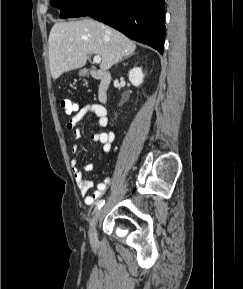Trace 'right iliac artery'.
<instances>
[{
  "mask_svg": "<svg viewBox=\"0 0 243 289\" xmlns=\"http://www.w3.org/2000/svg\"><path fill=\"white\" fill-rule=\"evenodd\" d=\"M105 203V200H99L97 203H96V210L97 209H100Z\"/></svg>",
  "mask_w": 243,
  "mask_h": 289,
  "instance_id": "obj_1",
  "label": "right iliac artery"
}]
</instances>
